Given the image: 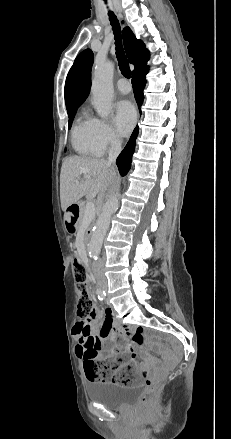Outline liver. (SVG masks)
I'll return each mask as SVG.
<instances>
[{
    "label": "liver",
    "instance_id": "6515ba94",
    "mask_svg": "<svg viewBox=\"0 0 231 439\" xmlns=\"http://www.w3.org/2000/svg\"><path fill=\"white\" fill-rule=\"evenodd\" d=\"M84 174V179L79 181ZM116 179L115 169L104 159L68 157L60 173V199L62 210L75 204L83 196L102 200L107 188Z\"/></svg>",
    "mask_w": 231,
    "mask_h": 439
}]
</instances>
